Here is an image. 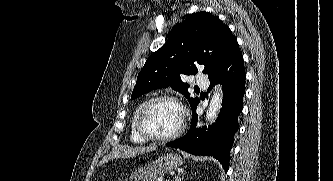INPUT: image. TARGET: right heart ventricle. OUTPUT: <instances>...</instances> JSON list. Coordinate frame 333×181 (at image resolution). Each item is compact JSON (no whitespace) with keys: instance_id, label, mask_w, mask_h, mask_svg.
<instances>
[{"instance_id":"right-heart-ventricle-1","label":"right heart ventricle","mask_w":333,"mask_h":181,"mask_svg":"<svg viewBox=\"0 0 333 181\" xmlns=\"http://www.w3.org/2000/svg\"><path fill=\"white\" fill-rule=\"evenodd\" d=\"M142 104H140L139 106H137V108L135 109L132 119H131V124H130V139L132 142L134 143H145L147 141V139H145L144 137H142L139 132L137 131L136 128V118H137V114L140 110Z\"/></svg>"}]
</instances>
